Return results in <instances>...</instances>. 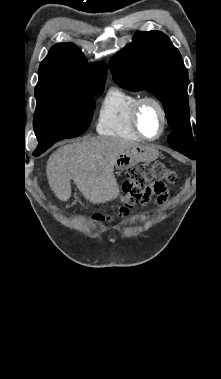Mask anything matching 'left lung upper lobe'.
Masks as SVG:
<instances>
[{
    "instance_id": "obj_1",
    "label": "left lung upper lobe",
    "mask_w": 221,
    "mask_h": 379,
    "mask_svg": "<svg viewBox=\"0 0 221 379\" xmlns=\"http://www.w3.org/2000/svg\"><path fill=\"white\" fill-rule=\"evenodd\" d=\"M109 69L123 88L149 91L163 103L168 123L174 127L168 136L169 144L194 159L188 71L170 39L160 31L137 32L132 42L110 59Z\"/></svg>"
}]
</instances>
